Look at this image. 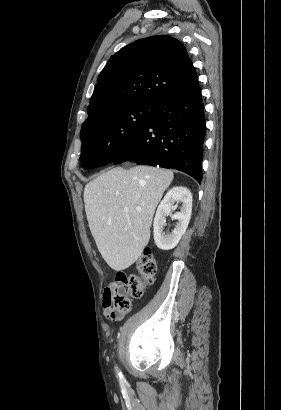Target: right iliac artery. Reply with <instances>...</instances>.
Returning a JSON list of instances; mask_svg holds the SVG:
<instances>
[{"mask_svg": "<svg viewBox=\"0 0 281 410\" xmlns=\"http://www.w3.org/2000/svg\"><path fill=\"white\" fill-rule=\"evenodd\" d=\"M117 372H118V371H117ZM118 375H119L120 381L123 380V375H122V373H121V372H118Z\"/></svg>", "mask_w": 281, "mask_h": 410, "instance_id": "82829eb1", "label": "right iliac artery"}]
</instances>
